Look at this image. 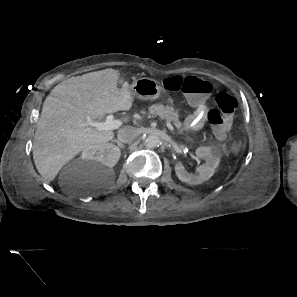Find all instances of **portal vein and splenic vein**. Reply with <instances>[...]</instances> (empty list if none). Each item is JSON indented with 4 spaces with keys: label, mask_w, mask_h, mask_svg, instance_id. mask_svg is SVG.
<instances>
[{
    "label": "portal vein and splenic vein",
    "mask_w": 297,
    "mask_h": 297,
    "mask_svg": "<svg viewBox=\"0 0 297 297\" xmlns=\"http://www.w3.org/2000/svg\"><path fill=\"white\" fill-rule=\"evenodd\" d=\"M86 125L95 127L98 131L104 130H115L118 129L122 125V121L115 120L113 115H108L104 122H99L92 120L90 116L86 115ZM166 126L169 130L174 131V127L171 123L166 121Z\"/></svg>",
    "instance_id": "1"
}]
</instances>
